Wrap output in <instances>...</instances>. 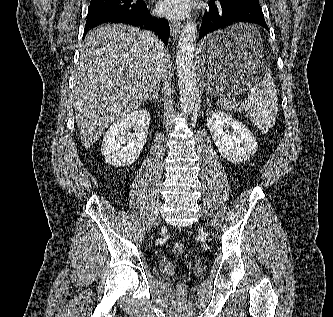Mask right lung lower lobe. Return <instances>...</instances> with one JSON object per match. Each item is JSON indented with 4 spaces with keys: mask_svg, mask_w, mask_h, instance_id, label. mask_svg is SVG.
I'll list each match as a JSON object with an SVG mask.
<instances>
[{
    "mask_svg": "<svg viewBox=\"0 0 333 317\" xmlns=\"http://www.w3.org/2000/svg\"><path fill=\"white\" fill-rule=\"evenodd\" d=\"M103 23H124L154 31L165 45L168 44L170 28L167 20L153 18L145 4H139L137 7L131 9H109L88 12L84 36L90 28Z\"/></svg>",
    "mask_w": 333,
    "mask_h": 317,
    "instance_id": "1",
    "label": "right lung lower lobe"
}]
</instances>
